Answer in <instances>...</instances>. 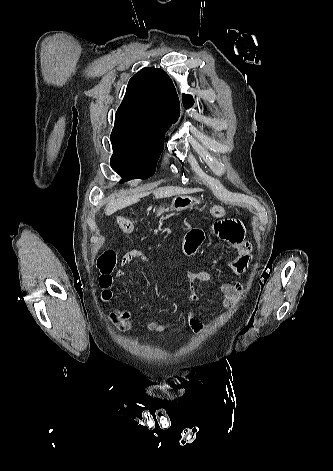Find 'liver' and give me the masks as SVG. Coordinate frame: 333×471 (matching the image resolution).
Segmentation results:
<instances>
[{
  "label": "liver",
  "mask_w": 333,
  "mask_h": 471,
  "mask_svg": "<svg viewBox=\"0 0 333 471\" xmlns=\"http://www.w3.org/2000/svg\"><path fill=\"white\" fill-rule=\"evenodd\" d=\"M200 189H187L181 188L177 186H166L161 187L154 190L152 193L154 194L156 199L167 198L175 195H182V194H189L193 192H198ZM148 193H135L129 196L121 195L117 198L109 197L107 199V206L105 208L106 215H112L118 210L126 208L130 205L136 204L140 201V198L146 196Z\"/></svg>",
  "instance_id": "obj_1"
}]
</instances>
